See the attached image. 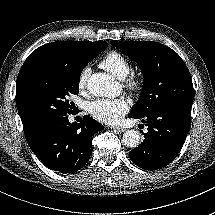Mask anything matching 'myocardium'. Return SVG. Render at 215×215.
I'll return each instance as SVG.
<instances>
[{
	"instance_id": "myocardium-1",
	"label": "myocardium",
	"mask_w": 215,
	"mask_h": 215,
	"mask_svg": "<svg viewBox=\"0 0 215 215\" xmlns=\"http://www.w3.org/2000/svg\"><path fill=\"white\" fill-rule=\"evenodd\" d=\"M125 87L133 94H139L144 88V77L140 72L129 71L123 78Z\"/></svg>"
}]
</instances>
